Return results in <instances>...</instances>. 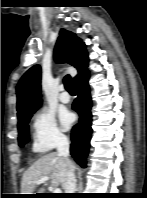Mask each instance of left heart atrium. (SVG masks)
<instances>
[{
  "instance_id": "left-heart-atrium-1",
  "label": "left heart atrium",
  "mask_w": 147,
  "mask_h": 198,
  "mask_svg": "<svg viewBox=\"0 0 147 198\" xmlns=\"http://www.w3.org/2000/svg\"><path fill=\"white\" fill-rule=\"evenodd\" d=\"M60 121L64 128H69L74 122V116L72 113L64 111L60 115Z\"/></svg>"
}]
</instances>
